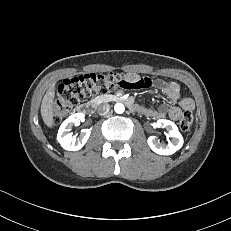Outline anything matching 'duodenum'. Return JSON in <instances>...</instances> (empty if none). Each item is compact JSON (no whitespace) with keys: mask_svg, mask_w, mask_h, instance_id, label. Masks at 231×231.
Returning <instances> with one entry per match:
<instances>
[{"mask_svg":"<svg viewBox=\"0 0 231 231\" xmlns=\"http://www.w3.org/2000/svg\"><path fill=\"white\" fill-rule=\"evenodd\" d=\"M104 99H110V100H114V101H118V102H123L130 109H132L134 111L139 110V106L137 104H135V102L131 98H127V97H124L122 95H113V96H110V97H106ZM95 105H96L95 103L81 105L79 107L78 111L80 113H84V114H91V113H93V111L95 109Z\"/></svg>","mask_w":231,"mask_h":231,"instance_id":"obj_1","label":"duodenum"}]
</instances>
